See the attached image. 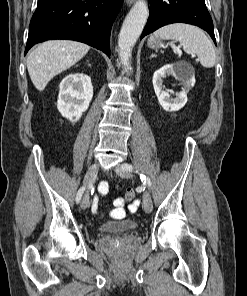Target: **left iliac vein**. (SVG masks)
<instances>
[{"label":"left iliac vein","mask_w":247,"mask_h":296,"mask_svg":"<svg viewBox=\"0 0 247 296\" xmlns=\"http://www.w3.org/2000/svg\"><path fill=\"white\" fill-rule=\"evenodd\" d=\"M116 173L121 176L122 178H131V174L125 170L122 165L117 166L115 168ZM143 208L147 213H151L153 209L152 199L150 197V194L148 192H145L143 195Z\"/></svg>","instance_id":"obj_1"}]
</instances>
